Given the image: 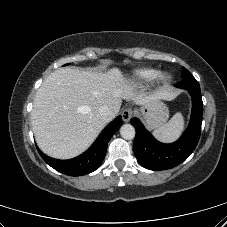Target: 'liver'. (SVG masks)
<instances>
[{"label": "liver", "instance_id": "1", "mask_svg": "<svg viewBox=\"0 0 227 227\" xmlns=\"http://www.w3.org/2000/svg\"><path fill=\"white\" fill-rule=\"evenodd\" d=\"M171 96L169 93L146 95L137 92L116 67L104 73L60 68L44 80L36 93L31 113L32 129L45 154L70 159L93 143L117 115L122 100L147 105ZM102 105H107L114 113L109 121L99 114Z\"/></svg>", "mask_w": 227, "mask_h": 227}]
</instances>
